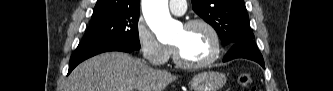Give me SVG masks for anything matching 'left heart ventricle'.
I'll list each match as a JSON object with an SVG mask.
<instances>
[{
	"label": "left heart ventricle",
	"instance_id": "obj_1",
	"mask_svg": "<svg viewBox=\"0 0 333 91\" xmlns=\"http://www.w3.org/2000/svg\"><path fill=\"white\" fill-rule=\"evenodd\" d=\"M173 45L177 46L182 56L191 62L208 59L214 50L210 33L201 26L190 29L182 27L176 35Z\"/></svg>",
	"mask_w": 333,
	"mask_h": 91
}]
</instances>
